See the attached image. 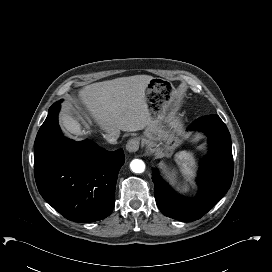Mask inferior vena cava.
Returning <instances> with one entry per match:
<instances>
[{
    "instance_id": "602c4592",
    "label": "inferior vena cava",
    "mask_w": 272,
    "mask_h": 272,
    "mask_svg": "<svg viewBox=\"0 0 272 272\" xmlns=\"http://www.w3.org/2000/svg\"><path fill=\"white\" fill-rule=\"evenodd\" d=\"M119 131H114L111 133L106 134L105 139L110 143V144H116L117 139L119 137Z\"/></svg>"
}]
</instances>
